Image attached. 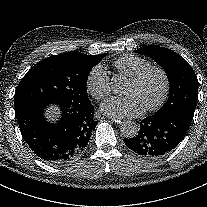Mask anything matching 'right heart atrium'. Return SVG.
<instances>
[{
    "instance_id": "1",
    "label": "right heart atrium",
    "mask_w": 207,
    "mask_h": 207,
    "mask_svg": "<svg viewBox=\"0 0 207 207\" xmlns=\"http://www.w3.org/2000/svg\"><path fill=\"white\" fill-rule=\"evenodd\" d=\"M86 87L96 100H103L111 93V83L103 65L94 66L87 75Z\"/></svg>"
}]
</instances>
